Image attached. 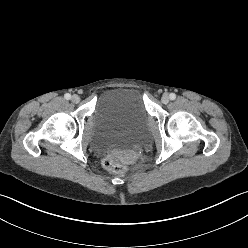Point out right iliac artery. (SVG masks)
Here are the masks:
<instances>
[{
	"label": "right iliac artery",
	"instance_id": "1",
	"mask_svg": "<svg viewBox=\"0 0 248 248\" xmlns=\"http://www.w3.org/2000/svg\"><path fill=\"white\" fill-rule=\"evenodd\" d=\"M64 98H65L66 100H69V99L71 98V95H70L69 93H66V94L64 95Z\"/></svg>",
	"mask_w": 248,
	"mask_h": 248
}]
</instances>
